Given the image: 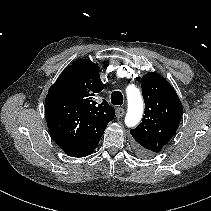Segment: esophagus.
<instances>
[{"instance_id":"obj_1","label":"esophagus","mask_w":211,"mask_h":211,"mask_svg":"<svg viewBox=\"0 0 211 211\" xmlns=\"http://www.w3.org/2000/svg\"><path fill=\"white\" fill-rule=\"evenodd\" d=\"M124 114H125V110H124L123 108L118 107V108L116 109V117H117V118L123 117Z\"/></svg>"}]
</instances>
